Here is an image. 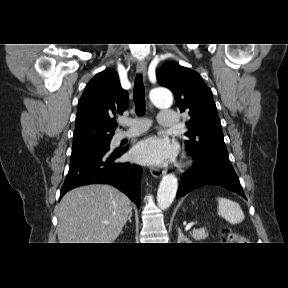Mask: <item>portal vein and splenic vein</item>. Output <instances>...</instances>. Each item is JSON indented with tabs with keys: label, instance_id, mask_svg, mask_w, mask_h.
<instances>
[{
	"label": "portal vein and splenic vein",
	"instance_id": "portal-vein-and-splenic-vein-1",
	"mask_svg": "<svg viewBox=\"0 0 288 288\" xmlns=\"http://www.w3.org/2000/svg\"><path fill=\"white\" fill-rule=\"evenodd\" d=\"M194 225V223H190L186 226L185 230L188 231L191 229V227Z\"/></svg>",
	"mask_w": 288,
	"mask_h": 288
}]
</instances>
